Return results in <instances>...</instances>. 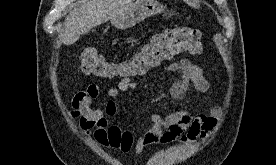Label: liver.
Masks as SVG:
<instances>
[{
    "label": "liver",
    "mask_w": 276,
    "mask_h": 165,
    "mask_svg": "<svg viewBox=\"0 0 276 165\" xmlns=\"http://www.w3.org/2000/svg\"><path fill=\"white\" fill-rule=\"evenodd\" d=\"M134 4V0H91L75 8L66 17L62 41L74 44L80 35L122 14Z\"/></svg>",
    "instance_id": "6515ba94"
}]
</instances>
